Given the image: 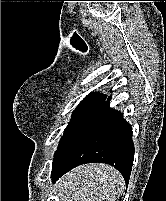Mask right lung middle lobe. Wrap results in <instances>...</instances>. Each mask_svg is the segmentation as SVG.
Instances as JSON below:
<instances>
[{"label":"right lung middle lobe","mask_w":166,"mask_h":201,"mask_svg":"<svg viewBox=\"0 0 166 201\" xmlns=\"http://www.w3.org/2000/svg\"><path fill=\"white\" fill-rule=\"evenodd\" d=\"M106 97L86 98L83 100L72 114V119L65 129V133L60 140L56 153L75 134L81 126L94 114V112L104 103Z\"/></svg>","instance_id":"right-lung-middle-lobe-1"}]
</instances>
